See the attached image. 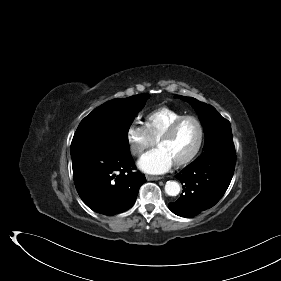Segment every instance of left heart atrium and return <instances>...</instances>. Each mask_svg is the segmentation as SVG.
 I'll return each mask as SVG.
<instances>
[{"instance_id": "1", "label": "left heart atrium", "mask_w": 281, "mask_h": 281, "mask_svg": "<svg viewBox=\"0 0 281 281\" xmlns=\"http://www.w3.org/2000/svg\"><path fill=\"white\" fill-rule=\"evenodd\" d=\"M173 164L171 157L160 148L144 154L138 161L139 168L148 174L165 173Z\"/></svg>"}]
</instances>
